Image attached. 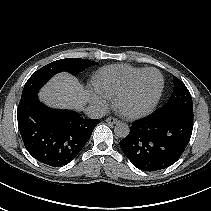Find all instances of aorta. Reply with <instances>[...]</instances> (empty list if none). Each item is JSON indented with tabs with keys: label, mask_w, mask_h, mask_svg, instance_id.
Listing matches in <instances>:
<instances>
[{
	"label": "aorta",
	"mask_w": 211,
	"mask_h": 211,
	"mask_svg": "<svg viewBox=\"0 0 211 211\" xmlns=\"http://www.w3.org/2000/svg\"><path fill=\"white\" fill-rule=\"evenodd\" d=\"M129 126L126 123L119 122L114 128V133L119 138H125L129 134Z\"/></svg>",
	"instance_id": "obj_1"
}]
</instances>
